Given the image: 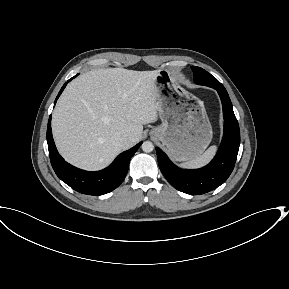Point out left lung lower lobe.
Masks as SVG:
<instances>
[{
    "label": "left lung lower lobe",
    "instance_id": "0a47b994",
    "mask_svg": "<svg viewBox=\"0 0 289 289\" xmlns=\"http://www.w3.org/2000/svg\"><path fill=\"white\" fill-rule=\"evenodd\" d=\"M223 106L224 135L214 159L205 167L183 170L176 167L167 155L156 148L158 164L167 181L187 194H204L216 189L230 176L239 150L240 130L231 100L225 88H216Z\"/></svg>",
    "mask_w": 289,
    "mask_h": 289
}]
</instances>
